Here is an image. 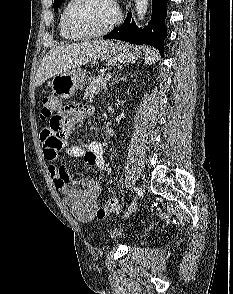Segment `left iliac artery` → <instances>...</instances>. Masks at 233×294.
<instances>
[{
    "label": "left iliac artery",
    "instance_id": "1",
    "mask_svg": "<svg viewBox=\"0 0 233 294\" xmlns=\"http://www.w3.org/2000/svg\"><path fill=\"white\" fill-rule=\"evenodd\" d=\"M133 190L141 197L143 196V192L141 188L134 187Z\"/></svg>",
    "mask_w": 233,
    "mask_h": 294
}]
</instances>
